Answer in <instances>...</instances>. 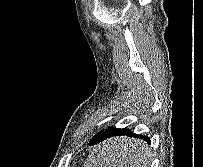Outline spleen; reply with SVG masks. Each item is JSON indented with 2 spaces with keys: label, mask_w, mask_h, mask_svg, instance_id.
<instances>
[{
  "label": "spleen",
  "mask_w": 203,
  "mask_h": 167,
  "mask_svg": "<svg viewBox=\"0 0 203 167\" xmlns=\"http://www.w3.org/2000/svg\"><path fill=\"white\" fill-rule=\"evenodd\" d=\"M132 148L141 145L140 150L136 153L124 152L112 148L110 144H103L98 149H95L85 161V167H147L149 164V153L144 150V145L135 141Z\"/></svg>",
  "instance_id": "spleen-1"
}]
</instances>
